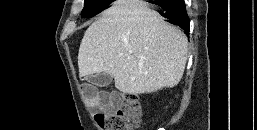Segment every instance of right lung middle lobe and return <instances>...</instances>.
Listing matches in <instances>:
<instances>
[{"mask_svg":"<svg viewBox=\"0 0 257 130\" xmlns=\"http://www.w3.org/2000/svg\"><path fill=\"white\" fill-rule=\"evenodd\" d=\"M112 3L111 0H85L84 9L81 13V16L92 17L93 15L99 13L104 8L109 6Z\"/></svg>","mask_w":257,"mask_h":130,"instance_id":"dd1d6c3e","label":"right lung middle lobe"}]
</instances>
